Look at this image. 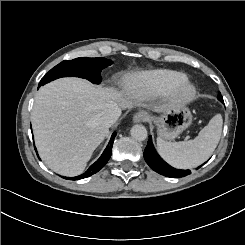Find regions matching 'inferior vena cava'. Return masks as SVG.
<instances>
[{"mask_svg": "<svg viewBox=\"0 0 245 245\" xmlns=\"http://www.w3.org/2000/svg\"><path fill=\"white\" fill-rule=\"evenodd\" d=\"M121 115V109L116 105H110L100 114V122L106 127L113 125Z\"/></svg>", "mask_w": 245, "mask_h": 245, "instance_id": "inferior-vena-cava-1", "label": "inferior vena cava"}]
</instances>
